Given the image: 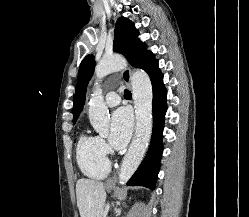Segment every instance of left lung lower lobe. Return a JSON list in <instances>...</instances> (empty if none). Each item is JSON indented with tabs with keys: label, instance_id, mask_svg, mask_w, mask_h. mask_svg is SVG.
Returning a JSON list of instances; mask_svg holds the SVG:
<instances>
[{
	"label": "left lung lower lobe",
	"instance_id": "obj_1",
	"mask_svg": "<svg viewBox=\"0 0 249 217\" xmlns=\"http://www.w3.org/2000/svg\"><path fill=\"white\" fill-rule=\"evenodd\" d=\"M148 75L153 88V133L151 145L144 161L130 178L127 185L144 186L154 190L159 172L160 158L163 152L162 132L166 113V89L164 88L163 75L159 70L158 64L148 72Z\"/></svg>",
	"mask_w": 249,
	"mask_h": 217
}]
</instances>
